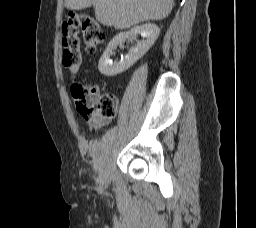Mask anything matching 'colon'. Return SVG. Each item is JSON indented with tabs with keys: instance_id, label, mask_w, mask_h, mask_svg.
Instances as JSON below:
<instances>
[{
	"instance_id": "1",
	"label": "colon",
	"mask_w": 256,
	"mask_h": 228,
	"mask_svg": "<svg viewBox=\"0 0 256 228\" xmlns=\"http://www.w3.org/2000/svg\"><path fill=\"white\" fill-rule=\"evenodd\" d=\"M80 33L90 53L97 50L105 37L99 22L91 15L76 12L69 14L62 25V43L63 65L71 74L77 73L82 64ZM71 92L77 111L87 121L109 119L117 112L118 100L113 93L100 94L96 88L79 82L72 85Z\"/></svg>"
}]
</instances>
